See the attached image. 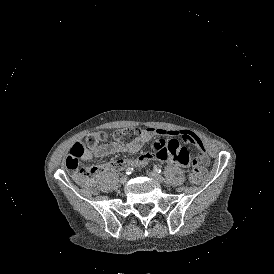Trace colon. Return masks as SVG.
<instances>
[{"label": "colon", "mask_w": 274, "mask_h": 274, "mask_svg": "<svg viewBox=\"0 0 274 274\" xmlns=\"http://www.w3.org/2000/svg\"><path fill=\"white\" fill-rule=\"evenodd\" d=\"M138 135V129L135 127H128L121 130H116L113 133V136L122 141V142H132L136 139ZM105 133L99 132L88 136L82 142L75 143L69 155L64 160L65 167L70 172H77L81 176H91L97 172L96 167H86L82 166L81 158L84 154L85 149L91 148L97 142H104L105 141ZM191 168L188 173V180L191 184L197 185L201 181L205 179V172L200 170V167H189Z\"/></svg>", "instance_id": "colon-1"}]
</instances>
